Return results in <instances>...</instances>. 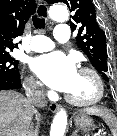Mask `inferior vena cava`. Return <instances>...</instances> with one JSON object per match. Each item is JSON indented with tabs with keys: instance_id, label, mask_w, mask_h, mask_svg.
<instances>
[{
	"instance_id": "602c4592",
	"label": "inferior vena cava",
	"mask_w": 117,
	"mask_h": 136,
	"mask_svg": "<svg viewBox=\"0 0 117 136\" xmlns=\"http://www.w3.org/2000/svg\"><path fill=\"white\" fill-rule=\"evenodd\" d=\"M26 95H27V101L30 104H32L33 107L35 106V107L43 108L47 106L46 91L41 85L37 83H33L31 85V90L28 91ZM31 116H32L31 119L32 124L29 127L27 136H37V130L35 127L37 115L33 113Z\"/></svg>"
}]
</instances>
